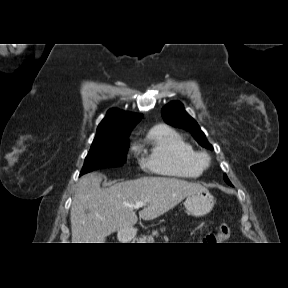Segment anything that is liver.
Wrapping results in <instances>:
<instances>
[{
  "label": "liver",
  "instance_id": "6515ba94",
  "mask_svg": "<svg viewBox=\"0 0 288 288\" xmlns=\"http://www.w3.org/2000/svg\"><path fill=\"white\" fill-rule=\"evenodd\" d=\"M101 181L102 175L89 173L76 185L70 211L72 243H104L113 232L133 231L138 221L133 207L136 202L146 203L139 217L149 221L204 189L197 183L167 177L123 181L109 188H101Z\"/></svg>",
  "mask_w": 288,
  "mask_h": 288
}]
</instances>
